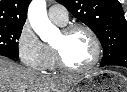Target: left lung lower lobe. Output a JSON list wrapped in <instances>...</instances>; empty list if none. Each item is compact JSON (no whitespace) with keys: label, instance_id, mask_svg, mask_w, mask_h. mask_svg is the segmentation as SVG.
<instances>
[{"label":"left lung lower lobe","instance_id":"left-lung-lower-lobe-1","mask_svg":"<svg viewBox=\"0 0 127 92\" xmlns=\"http://www.w3.org/2000/svg\"><path fill=\"white\" fill-rule=\"evenodd\" d=\"M106 65H119L127 67V50H119L109 58H103L100 66L103 67Z\"/></svg>","mask_w":127,"mask_h":92}]
</instances>
